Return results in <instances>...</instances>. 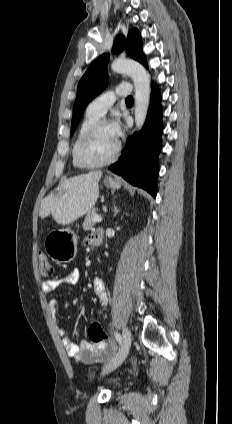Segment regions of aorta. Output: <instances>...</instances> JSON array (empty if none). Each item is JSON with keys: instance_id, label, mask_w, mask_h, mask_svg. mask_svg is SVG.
<instances>
[{"instance_id": "1", "label": "aorta", "mask_w": 232, "mask_h": 424, "mask_svg": "<svg viewBox=\"0 0 232 424\" xmlns=\"http://www.w3.org/2000/svg\"><path fill=\"white\" fill-rule=\"evenodd\" d=\"M111 69L116 73L127 74L133 80L135 88V124L136 129L140 130L144 125L149 106L150 81L148 74L141 64L124 58L115 59L111 64Z\"/></svg>"}]
</instances>
